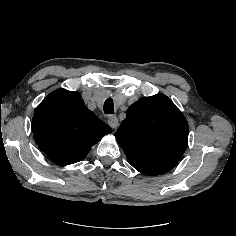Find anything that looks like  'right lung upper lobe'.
<instances>
[{
    "label": "right lung upper lobe",
    "mask_w": 236,
    "mask_h": 236,
    "mask_svg": "<svg viewBox=\"0 0 236 236\" xmlns=\"http://www.w3.org/2000/svg\"><path fill=\"white\" fill-rule=\"evenodd\" d=\"M112 129L85 105L78 92L58 89L37 107L32 132L40 150L60 165L81 161Z\"/></svg>",
    "instance_id": "obj_1"
}]
</instances>
